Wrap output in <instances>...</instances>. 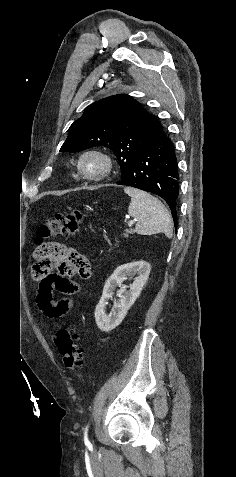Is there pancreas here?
Listing matches in <instances>:
<instances>
[{
	"mask_svg": "<svg viewBox=\"0 0 236 477\" xmlns=\"http://www.w3.org/2000/svg\"><path fill=\"white\" fill-rule=\"evenodd\" d=\"M134 230L133 229H126L124 233V237H128V234H133Z\"/></svg>",
	"mask_w": 236,
	"mask_h": 477,
	"instance_id": "obj_1",
	"label": "pancreas"
}]
</instances>
